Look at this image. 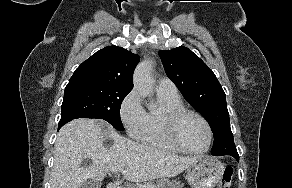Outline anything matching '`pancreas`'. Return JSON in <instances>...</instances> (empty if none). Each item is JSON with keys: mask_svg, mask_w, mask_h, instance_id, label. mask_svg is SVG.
Masks as SVG:
<instances>
[{"mask_svg": "<svg viewBox=\"0 0 292 188\" xmlns=\"http://www.w3.org/2000/svg\"><path fill=\"white\" fill-rule=\"evenodd\" d=\"M148 186L152 188H182L179 181L169 180V179H159L157 181H149L144 184H138L136 187L132 188H147Z\"/></svg>", "mask_w": 292, "mask_h": 188, "instance_id": "1", "label": "pancreas"}]
</instances>
